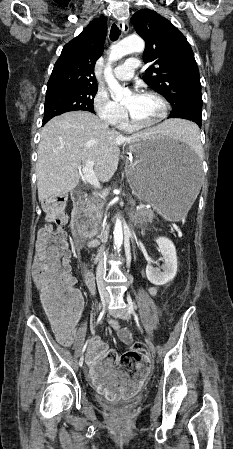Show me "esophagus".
<instances>
[{
	"label": "esophagus",
	"instance_id": "esophagus-1",
	"mask_svg": "<svg viewBox=\"0 0 233 449\" xmlns=\"http://www.w3.org/2000/svg\"><path fill=\"white\" fill-rule=\"evenodd\" d=\"M117 25H118V27H119V29H121L123 32H128V30H129V25H128V22L127 21H121V20H119L118 22H117Z\"/></svg>",
	"mask_w": 233,
	"mask_h": 449
}]
</instances>
